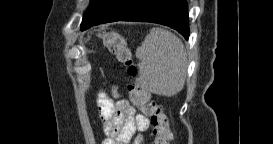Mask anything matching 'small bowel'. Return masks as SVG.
Masks as SVG:
<instances>
[{"instance_id":"1","label":"small bowel","mask_w":273,"mask_h":144,"mask_svg":"<svg viewBox=\"0 0 273 144\" xmlns=\"http://www.w3.org/2000/svg\"><path fill=\"white\" fill-rule=\"evenodd\" d=\"M110 98L100 91L97 96V106L103 129L108 136L107 144L143 143V133L149 127L148 118L137 112L136 108L119 93L116 87Z\"/></svg>"}]
</instances>
